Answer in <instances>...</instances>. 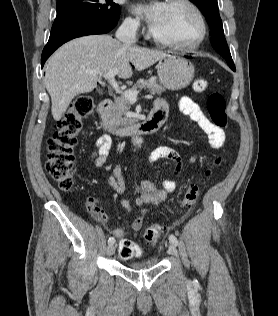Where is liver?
<instances>
[{"mask_svg":"<svg viewBox=\"0 0 278 316\" xmlns=\"http://www.w3.org/2000/svg\"><path fill=\"white\" fill-rule=\"evenodd\" d=\"M166 56L162 51L124 45L110 35H88L69 41L50 57L45 70L53 118L60 120L75 96L97 87L100 74L89 71L117 69L118 77L127 79L133 74L131 64L141 71Z\"/></svg>","mask_w":278,"mask_h":316,"instance_id":"6515ba94","label":"liver"}]
</instances>
